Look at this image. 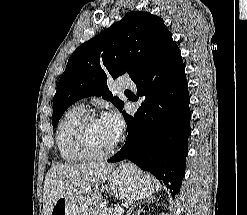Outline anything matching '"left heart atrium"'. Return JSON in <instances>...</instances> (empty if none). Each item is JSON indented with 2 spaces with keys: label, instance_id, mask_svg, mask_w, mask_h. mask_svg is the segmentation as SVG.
<instances>
[{
  "label": "left heart atrium",
  "instance_id": "39dd6f15",
  "mask_svg": "<svg viewBox=\"0 0 247 215\" xmlns=\"http://www.w3.org/2000/svg\"><path fill=\"white\" fill-rule=\"evenodd\" d=\"M103 123L107 126L113 136L117 139L124 129V122L120 114L109 111L102 117Z\"/></svg>",
  "mask_w": 247,
  "mask_h": 215
}]
</instances>
